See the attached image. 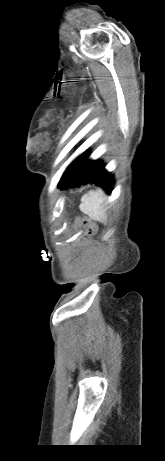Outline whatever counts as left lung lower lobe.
<instances>
[{
	"instance_id": "obj_1",
	"label": "left lung lower lobe",
	"mask_w": 165,
	"mask_h": 461,
	"mask_svg": "<svg viewBox=\"0 0 165 461\" xmlns=\"http://www.w3.org/2000/svg\"><path fill=\"white\" fill-rule=\"evenodd\" d=\"M87 183H95L101 186L107 193H111L114 179L105 170L102 162L88 160L87 154L83 153L69 165L58 186L64 189Z\"/></svg>"
}]
</instances>
